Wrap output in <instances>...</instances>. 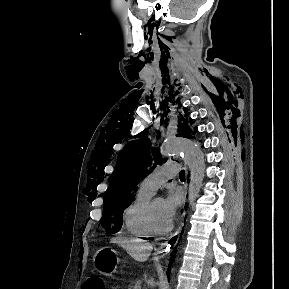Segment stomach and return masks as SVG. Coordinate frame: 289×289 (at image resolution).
<instances>
[{"label":"stomach","mask_w":289,"mask_h":289,"mask_svg":"<svg viewBox=\"0 0 289 289\" xmlns=\"http://www.w3.org/2000/svg\"><path fill=\"white\" fill-rule=\"evenodd\" d=\"M117 252L109 247L101 248L94 257V263L99 273L112 275L117 271Z\"/></svg>","instance_id":"stomach-1"}]
</instances>
